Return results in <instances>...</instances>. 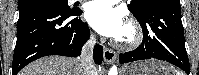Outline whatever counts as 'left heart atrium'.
Instances as JSON below:
<instances>
[{
    "label": "left heart atrium",
    "mask_w": 199,
    "mask_h": 75,
    "mask_svg": "<svg viewBox=\"0 0 199 75\" xmlns=\"http://www.w3.org/2000/svg\"><path fill=\"white\" fill-rule=\"evenodd\" d=\"M85 16L99 34L115 39L121 37L127 26L123 13L110 1L90 2Z\"/></svg>",
    "instance_id": "39dd6f15"
}]
</instances>
